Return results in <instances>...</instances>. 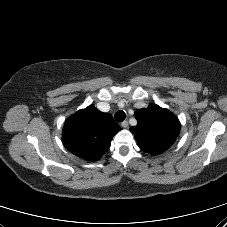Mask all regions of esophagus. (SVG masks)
<instances>
[{
    "instance_id": "1",
    "label": "esophagus",
    "mask_w": 227,
    "mask_h": 227,
    "mask_svg": "<svg viewBox=\"0 0 227 227\" xmlns=\"http://www.w3.org/2000/svg\"><path fill=\"white\" fill-rule=\"evenodd\" d=\"M121 126H122L123 128H127V127H128V121H123V122L121 123Z\"/></svg>"
}]
</instances>
